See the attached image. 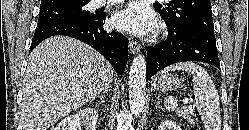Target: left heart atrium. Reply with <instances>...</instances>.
Instances as JSON below:
<instances>
[{
  "label": "left heart atrium",
  "mask_w": 249,
  "mask_h": 130,
  "mask_svg": "<svg viewBox=\"0 0 249 130\" xmlns=\"http://www.w3.org/2000/svg\"><path fill=\"white\" fill-rule=\"evenodd\" d=\"M112 22L117 29L138 36L147 35L156 28L153 13L142 0H136L117 12L113 16Z\"/></svg>",
  "instance_id": "obj_1"
}]
</instances>
